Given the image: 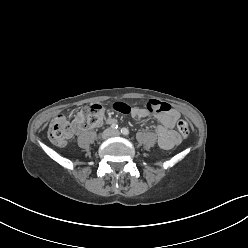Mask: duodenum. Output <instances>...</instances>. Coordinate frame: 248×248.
Instances as JSON below:
<instances>
[{
    "instance_id": "410a0bca",
    "label": "duodenum",
    "mask_w": 248,
    "mask_h": 248,
    "mask_svg": "<svg viewBox=\"0 0 248 248\" xmlns=\"http://www.w3.org/2000/svg\"><path fill=\"white\" fill-rule=\"evenodd\" d=\"M106 122L107 123H115L116 120L114 118L109 117V118L106 119Z\"/></svg>"
}]
</instances>
